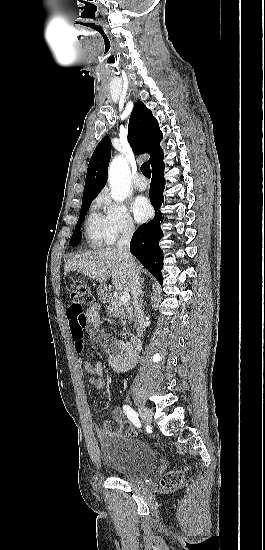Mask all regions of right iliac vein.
Masks as SVG:
<instances>
[{"label":"right iliac vein","mask_w":265,"mask_h":550,"mask_svg":"<svg viewBox=\"0 0 265 550\" xmlns=\"http://www.w3.org/2000/svg\"><path fill=\"white\" fill-rule=\"evenodd\" d=\"M139 412L142 417V420L145 424H150L152 422V412L145 405H139Z\"/></svg>","instance_id":"right-iliac-vein-1"}]
</instances>
